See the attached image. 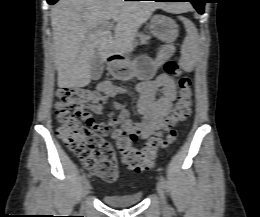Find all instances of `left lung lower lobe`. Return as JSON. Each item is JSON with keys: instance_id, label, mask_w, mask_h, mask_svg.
<instances>
[{"instance_id": "1", "label": "left lung lower lobe", "mask_w": 260, "mask_h": 217, "mask_svg": "<svg viewBox=\"0 0 260 217\" xmlns=\"http://www.w3.org/2000/svg\"><path fill=\"white\" fill-rule=\"evenodd\" d=\"M154 1H170V2H181V1H188L193 4L196 10L203 14L204 12V4L206 3L205 0H154Z\"/></svg>"}]
</instances>
